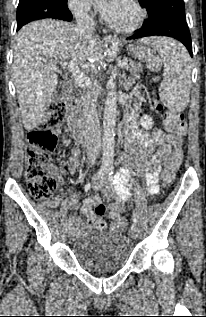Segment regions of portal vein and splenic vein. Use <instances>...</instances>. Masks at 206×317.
<instances>
[{
  "mask_svg": "<svg viewBox=\"0 0 206 317\" xmlns=\"http://www.w3.org/2000/svg\"><path fill=\"white\" fill-rule=\"evenodd\" d=\"M62 67H67V69L72 73L75 83L81 87L86 88L91 86L90 80H88L83 73L80 71L77 63L74 60H71L70 62H59ZM127 64V61H121L118 63L119 66L123 67Z\"/></svg>",
  "mask_w": 206,
  "mask_h": 317,
  "instance_id": "portal-vein-and-splenic-vein-1",
  "label": "portal vein and splenic vein"
}]
</instances>
